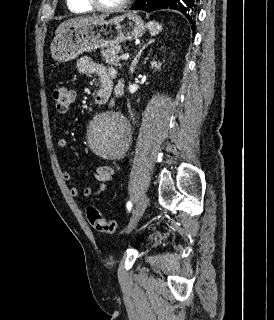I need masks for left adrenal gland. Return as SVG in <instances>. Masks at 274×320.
I'll use <instances>...</instances> for the list:
<instances>
[{"mask_svg":"<svg viewBox=\"0 0 274 320\" xmlns=\"http://www.w3.org/2000/svg\"><path fill=\"white\" fill-rule=\"evenodd\" d=\"M153 42H154V40H150V42H148V44H145V46H143V48H141V50H139V52H137L136 58H134V60H132V62H131L130 74H134L135 66H136V64H138V60H140L141 54H143L145 48H147V46H149V44H153Z\"/></svg>","mask_w":274,"mask_h":320,"instance_id":"a2214340","label":"left adrenal gland"}]
</instances>
